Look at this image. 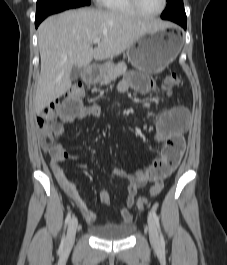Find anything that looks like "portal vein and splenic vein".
I'll use <instances>...</instances> for the list:
<instances>
[{
	"label": "portal vein and splenic vein",
	"instance_id": "1",
	"mask_svg": "<svg viewBox=\"0 0 227 265\" xmlns=\"http://www.w3.org/2000/svg\"><path fill=\"white\" fill-rule=\"evenodd\" d=\"M100 42V38H94L92 43L93 44H98Z\"/></svg>",
	"mask_w": 227,
	"mask_h": 265
}]
</instances>
